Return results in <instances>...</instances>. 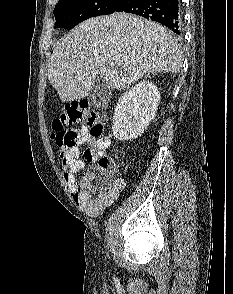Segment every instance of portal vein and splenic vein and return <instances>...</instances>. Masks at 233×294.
Wrapping results in <instances>:
<instances>
[{
    "instance_id": "18ae733b",
    "label": "portal vein and splenic vein",
    "mask_w": 233,
    "mask_h": 294,
    "mask_svg": "<svg viewBox=\"0 0 233 294\" xmlns=\"http://www.w3.org/2000/svg\"><path fill=\"white\" fill-rule=\"evenodd\" d=\"M109 66H110V67H114V63H113V62H110V63H109Z\"/></svg>"
}]
</instances>
